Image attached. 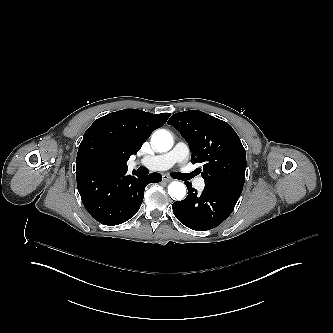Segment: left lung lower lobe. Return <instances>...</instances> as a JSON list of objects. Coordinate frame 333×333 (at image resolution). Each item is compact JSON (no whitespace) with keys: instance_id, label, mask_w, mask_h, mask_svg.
<instances>
[{"instance_id":"left-lung-lower-lobe-1","label":"left lung lower lobe","mask_w":333,"mask_h":333,"mask_svg":"<svg viewBox=\"0 0 333 333\" xmlns=\"http://www.w3.org/2000/svg\"><path fill=\"white\" fill-rule=\"evenodd\" d=\"M188 195L172 205L176 218L186 227L195 231H206L220 225L234 210L242 191L205 186L201 195L185 182Z\"/></svg>"}]
</instances>
